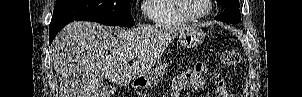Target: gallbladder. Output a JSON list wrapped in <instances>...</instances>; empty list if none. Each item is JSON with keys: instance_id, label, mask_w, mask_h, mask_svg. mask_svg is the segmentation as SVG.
<instances>
[{"instance_id": "bac80fb5", "label": "gallbladder", "mask_w": 302, "mask_h": 97, "mask_svg": "<svg viewBox=\"0 0 302 97\" xmlns=\"http://www.w3.org/2000/svg\"><path fill=\"white\" fill-rule=\"evenodd\" d=\"M114 92V88L111 85H106L103 87L101 91V96L102 97H110Z\"/></svg>"}]
</instances>
